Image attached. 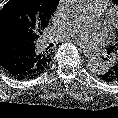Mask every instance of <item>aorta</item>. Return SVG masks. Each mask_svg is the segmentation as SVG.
I'll list each match as a JSON object with an SVG mask.
<instances>
[{
	"mask_svg": "<svg viewBox=\"0 0 118 118\" xmlns=\"http://www.w3.org/2000/svg\"><path fill=\"white\" fill-rule=\"evenodd\" d=\"M61 13L67 18H76L83 11L82 0H62ZM89 70L97 75L105 72L107 64L101 58H94L88 62Z\"/></svg>",
	"mask_w": 118,
	"mask_h": 118,
	"instance_id": "762f6f07",
	"label": "aorta"
}]
</instances>
